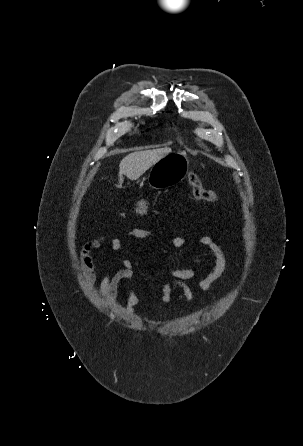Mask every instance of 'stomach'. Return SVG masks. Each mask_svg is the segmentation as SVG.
<instances>
[{
    "label": "stomach",
    "mask_w": 303,
    "mask_h": 446,
    "mask_svg": "<svg viewBox=\"0 0 303 446\" xmlns=\"http://www.w3.org/2000/svg\"><path fill=\"white\" fill-rule=\"evenodd\" d=\"M189 170V160L181 152L170 153L156 162L148 175L153 189H166L181 182Z\"/></svg>",
    "instance_id": "obj_1"
}]
</instances>
